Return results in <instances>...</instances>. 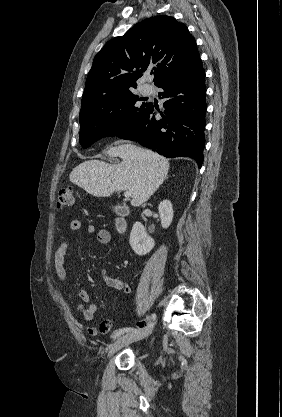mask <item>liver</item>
Masks as SVG:
<instances>
[{"instance_id": "obj_1", "label": "liver", "mask_w": 282, "mask_h": 417, "mask_svg": "<svg viewBox=\"0 0 282 417\" xmlns=\"http://www.w3.org/2000/svg\"><path fill=\"white\" fill-rule=\"evenodd\" d=\"M107 154L120 156L122 162L109 164L104 160H84L71 170V182L93 196H110L115 190H131L132 206H140L168 174V158L136 144L111 146Z\"/></svg>"}]
</instances>
